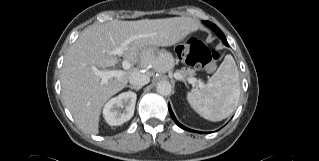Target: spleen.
Returning a JSON list of instances; mask_svg holds the SVG:
<instances>
[{
    "instance_id": "obj_1",
    "label": "spleen",
    "mask_w": 319,
    "mask_h": 161,
    "mask_svg": "<svg viewBox=\"0 0 319 161\" xmlns=\"http://www.w3.org/2000/svg\"><path fill=\"white\" fill-rule=\"evenodd\" d=\"M240 93L236 63L231 55H226L208 83L188 92L187 100L203 118L221 121L236 109Z\"/></svg>"
}]
</instances>
